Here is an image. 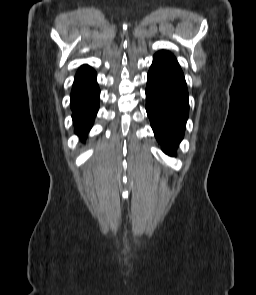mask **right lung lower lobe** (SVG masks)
I'll use <instances>...</instances> for the list:
<instances>
[{
  "instance_id": "right-lung-lower-lobe-1",
  "label": "right lung lower lobe",
  "mask_w": 256,
  "mask_h": 295,
  "mask_svg": "<svg viewBox=\"0 0 256 295\" xmlns=\"http://www.w3.org/2000/svg\"><path fill=\"white\" fill-rule=\"evenodd\" d=\"M96 76L91 67L81 66L76 73L70 95L75 133L81 138H86L99 108L100 90Z\"/></svg>"
}]
</instances>
